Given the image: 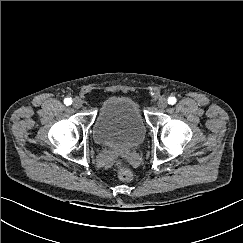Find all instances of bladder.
Returning <instances> with one entry per match:
<instances>
[{"label":"bladder","mask_w":243,"mask_h":243,"mask_svg":"<svg viewBox=\"0 0 243 243\" xmlns=\"http://www.w3.org/2000/svg\"><path fill=\"white\" fill-rule=\"evenodd\" d=\"M92 132L97 144L130 151L144 141L146 128L139 106L132 98L113 96L100 106Z\"/></svg>","instance_id":"31cf9c89"}]
</instances>
